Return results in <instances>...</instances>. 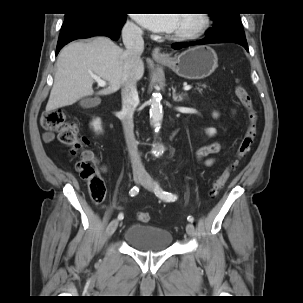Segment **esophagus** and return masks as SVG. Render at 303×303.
Returning <instances> with one entry per match:
<instances>
[{"mask_svg":"<svg viewBox=\"0 0 303 303\" xmlns=\"http://www.w3.org/2000/svg\"><path fill=\"white\" fill-rule=\"evenodd\" d=\"M152 57L156 61H164L169 60V57L165 54H163L159 47H154L152 51Z\"/></svg>","mask_w":303,"mask_h":303,"instance_id":"obj_1","label":"esophagus"}]
</instances>
